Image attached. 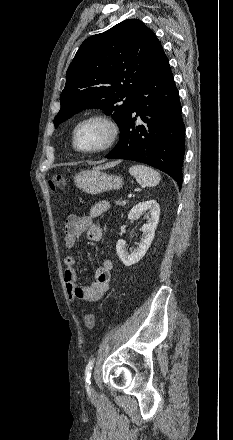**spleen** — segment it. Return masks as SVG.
Wrapping results in <instances>:
<instances>
[{"label":"spleen","mask_w":233,"mask_h":440,"mask_svg":"<svg viewBox=\"0 0 233 440\" xmlns=\"http://www.w3.org/2000/svg\"><path fill=\"white\" fill-rule=\"evenodd\" d=\"M129 173L135 177L136 181L147 187H154L161 180L160 174L149 166L137 164L129 168Z\"/></svg>","instance_id":"3e777b00"}]
</instances>
